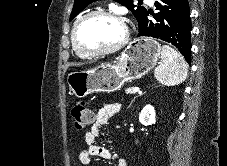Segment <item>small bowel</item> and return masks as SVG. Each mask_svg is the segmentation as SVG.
<instances>
[{
    "mask_svg": "<svg viewBox=\"0 0 227 166\" xmlns=\"http://www.w3.org/2000/svg\"><path fill=\"white\" fill-rule=\"evenodd\" d=\"M121 105L119 103L104 104L102 105L92 121L91 130L84 134V142L86 147L79 155V161L82 166H90L91 158L99 156L107 160H114L116 156L113 155L108 149L96 145L97 139L106 140L100 133V127L106 124L111 117L119 112ZM117 166H127L126 161L122 158L118 159Z\"/></svg>",
    "mask_w": 227,
    "mask_h": 166,
    "instance_id": "obj_1",
    "label": "small bowel"
}]
</instances>
